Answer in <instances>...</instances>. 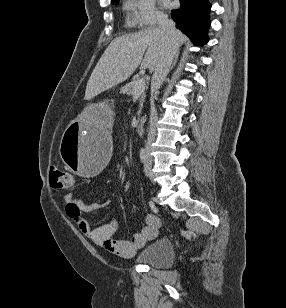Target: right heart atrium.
Wrapping results in <instances>:
<instances>
[{"mask_svg":"<svg viewBox=\"0 0 286 308\" xmlns=\"http://www.w3.org/2000/svg\"><path fill=\"white\" fill-rule=\"evenodd\" d=\"M130 22L138 28H151L165 19L155 0H125Z\"/></svg>","mask_w":286,"mask_h":308,"instance_id":"obj_1","label":"right heart atrium"}]
</instances>
